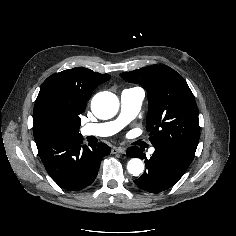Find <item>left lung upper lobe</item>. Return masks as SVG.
Segmentation results:
<instances>
[{
  "label": "left lung upper lobe",
  "mask_w": 236,
  "mask_h": 236,
  "mask_svg": "<svg viewBox=\"0 0 236 236\" xmlns=\"http://www.w3.org/2000/svg\"><path fill=\"white\" fill-rule=\"evenodd\" d=\"M120 76L148 92L146 129L150 142L195 153L200 136L198 108L182 76L166 65H152Z\"/></svg>",
  "instance_id": "obj_1"
}]
</instances>
